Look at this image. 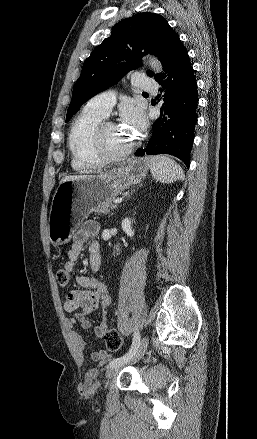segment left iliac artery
Masks as SVG:
<instances>
[{"mask_svg": "<svg viewBox=\"0 0 257 439\" xmlns=\"http://www.w3.org/2000/svg\"><path fill=\"white\" fill-rule=\"evenodd\" d=\"M139 344H140V334H139V332H135L134 337H133V342H132V345H131V348L129 349V351L125 355H123L119 358L113 359L109 363V367H113L115 365H118V364H121L123 362L128 361L136 353V351L139 347Z\"/></svg>", "mask_w": 257, "mask_h": 439, "instance_id": "obj_1", "label": "left iliac artery"}]
</instances>
